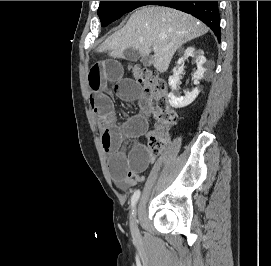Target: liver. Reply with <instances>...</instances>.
<instances>
[{"label": "liver", "mask_w": 271, "mask_h": 266, "mask_svg": "<svg viewBox=\"0 0 271 266\" xmlns=\"http://www.w3.org/2000/svg\"><path fill=\"white\" fill-rule=\"evenodd\" d=\"M208 28L193 16L161 6H145L136 10L119 31L112 34L98 49L110 50V56L125 58L124 51L132 49L146 57L151 47H158L152 62L154 68L166 72L176 50L184 43L202 36Z\"/></svg>", "instance_id": "1"}]
</instances>
